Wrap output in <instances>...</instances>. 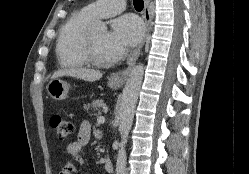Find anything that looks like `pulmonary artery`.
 <instances>
[{"label":"pulmonary artery","mask_w":249,"mask_h":174,"mask_svg":"<svg viewBox=\"0 0 249 174\" xmlns=\"http://www.w3.org/2000/svg\"><path fill=\"white\" fill-rule=\"evenodd\" d=\"M125 8L126 0H97L88 4L84 11L93 19H97L116 15Z\"/></svg>","instance_id":"pulmonary-artery-1"}]
</instances>
